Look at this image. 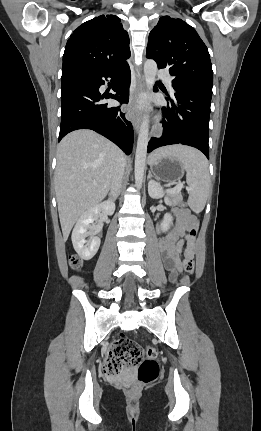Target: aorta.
<instances>
[{
    "label": "aorta",
    "mask_w": 261,
    "mask_h": 431,
    "mask_svg": "<svg viewBox=\"0 0 261 431\" xmlns=\"http://www.w3.org/2000/svg\"><path fill=\"white\" fill-rule=\"evenodd\" d=\"M157 74V64L154 60L148 59L144 64V75L145 82L148 90H151L156 78ZM148 135H149V115L146 114L143 117V121L141 123L136 155H135V186L140 189L142 187L144 171H145V162L147 155V145H148Z\"/></svg>",
    "instance_id": "obj_1"
}]
</instances>
